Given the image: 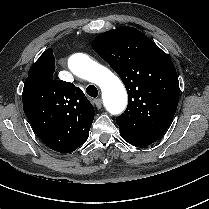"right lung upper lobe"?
Returning <instances> with one entry per match:
<instances>
[{
  "label": "right lung upper lobe",
  "instance_id": "right-lung-upper-lobe-1",
  "mask_svg": "<svg viewBox=\"0 0 209 209\" xmlns=\"http://www.w3.org/2000/svg\"><path fill=\"white\" fill-rule=\"evenodd\" d=\"M54 71L53 51L47 49L29 69L23 110L32 126L54 130L55 142L76 150L89 136L94 107L79 87L55 80Z\"/></svg>",
  "mask_w": 209,
  "mask_h": 209
}]
</instances>
